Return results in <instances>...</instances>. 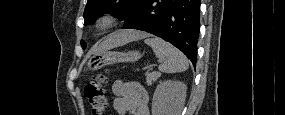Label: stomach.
Instances as JSON below:
<instances>
[{
  "label": "stomach",
  "mask_w": 285,
  "mask_h": 115,
  "mask_svg": "<svg viewBox=\"0 0 285 115\" xmlns=\"http://www.w3.org/2000/svg\"><path fill=\"white\" fill-rule=\"evenodd\" d=\"M139 51L128 52H103L95 54L88 61L89 70L95 71L106 65L120 62H134L141 58Z\"/></svg>",
  "instance_id": "1"
}]
</instances>
